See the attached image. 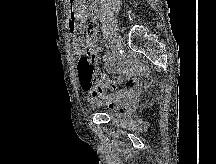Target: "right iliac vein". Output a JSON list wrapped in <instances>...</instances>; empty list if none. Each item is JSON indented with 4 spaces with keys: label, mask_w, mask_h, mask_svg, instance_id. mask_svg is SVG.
<instances>
[{
    "label": "right iliac vein",
    "mask_w": 216,
    "mask_h": 164,
    "mask_svg": "<svg viewBox=\"0 0 216 164\" xmlns=\"http://www.w3.org/2000/svg\"><path fill=\"white\" fill-rule=\"evenodd\" d=\"M113 44L116 52H119V50L122 48V41L117 35L113 37Z\"/></svg>",
    "instance_id": "63e3f726"
}]
</instances>
